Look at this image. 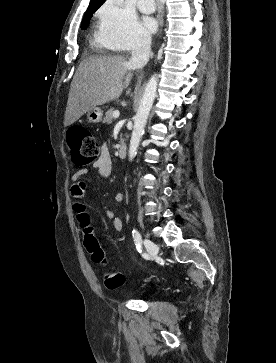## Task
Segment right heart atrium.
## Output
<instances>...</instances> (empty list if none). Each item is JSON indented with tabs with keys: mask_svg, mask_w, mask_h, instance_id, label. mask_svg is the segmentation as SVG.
I'll return each instance as SVG.
<instances>
[{
	"mask_svg": "<svg viewBox=\"0 0 276 363\" xmlns=\"http://www.w3.org/2000/svg\"><path fill=\"white\" fill-rule=\"evenodd\" d=\"M98 16L101 37L116 49L128 50L148 43L149 37L134 10L123 0H107Z\"/></svg>",
	"mask_w": 276,
	"mask_h": 363,
	"instance_id": "right-heart-atrium-1",
	"label": "right heart atrium"
}]
</instances>
